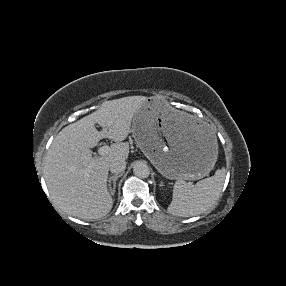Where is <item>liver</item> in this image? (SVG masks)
I'll use <instances>...</instances> for the list:
<instances>
[{"label": "liver", "instance_id": "1", "mask_svg": "<svg viewBox=\"0 0 286 286\" xmlns=\"http://www.w3.org/2000/svg\"><path fill=\"white\" fill-rule=\"evenodd\" d=\"M144 96H129L105 101L94 113L63 128L54 138L44 165V177L56 206L68 215L98 219L110 212L113 199L107 188L109 164L116 158L126 160L136 111L146 101ZM186 123L191 116L179 113ZM98 123L103 131H98ZM102 138L115 141L106 155L92 156L91 148Z\"/></svg>", "mask_w": 286, "mask_h": 286}]
</instances>
